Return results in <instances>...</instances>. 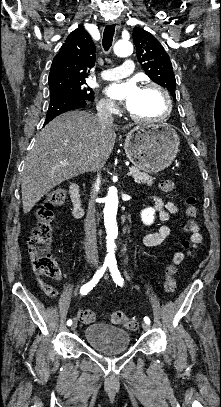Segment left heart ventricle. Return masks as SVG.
<instances>
[{"instance_id": "b2bd125f", "label": "left heart ventricle", "mask_w": 221, "mask_h": 407, "mask_svg": "<svg viewBox=\"0 0 221 407\" xmlns=\"http://www.w3.org/2000/svg\"><path fill=\"white\" fill-rule=\"evenodd\" d=\"M130 110L142 118H156L165 110L164 98L156 89H142Z\"/></svg>"}]
</instances>
